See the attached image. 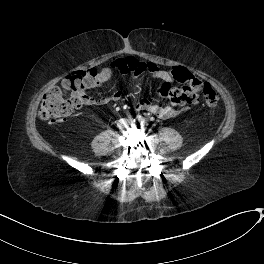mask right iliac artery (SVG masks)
Wrapping results in <instances>:
<instances>
[{
    "instance_id": "1",
    "label": "right iliac artery",
    "mask_w": 264,
    "mask_h": 264,
    "mask_svg": "<svg viewBox=\"0 0 264 264\" xmlns=\"http://www.w3.org/2000/svg\"><path fill=\"white\" fill-rule=\"evenodd\" d=\"M135 122H136V120H135V119H133V120H132V123H135Z\"/></svg>"
}]
</instances>
